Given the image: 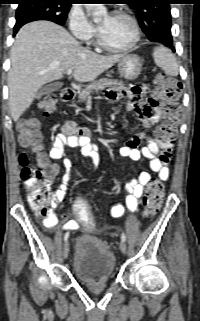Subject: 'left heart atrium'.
<instances>
[{
  "label": "left heart atrium",
  "instance_id": "39dd6f15",
  "mask_svg": "<svg viewBox=\"0 0 200 321\" xmlns=\"http://www.w3.org/2000/svg\"><path fill=\"white\" fill-rule=\"evenodd\" d=\"M102 27H103V26L101 25V26L99 27V29L101 30V29H102Z\"/></svg>",
  "mask_w": 200,
  "mask_h": 321
}]
</instances>
